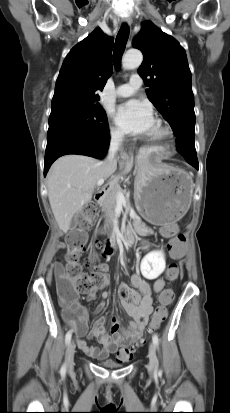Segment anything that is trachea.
<instances>
[{
    "instance_id": "3493384b",
    "label": "trachea",
    "mask_w": 230,
    "mask_h": 413,
    "mask_svg": "<svg viewBox=\"0 0 230 413\" xmlns=\"http://www.w3.org/2000/svg\"><path fill=\"white\" fill-rule=\"evenodd\" d=\"M129 37V27L126 24H123L117 34L113 52V62L116 69L120 68V62L122 55L125 51L126 44Z\"/></svg>"
}]
</instances>
